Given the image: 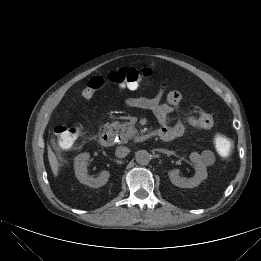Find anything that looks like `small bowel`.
Returning <instances> with one entry per match:
<instances>
[{
	"mask_svg": "<svg viewBox=\"0 0 261 261\" xmlns=\"http://www.w3.org/2000/svg\"><path fill=\"white\" fill-rule=\"evenodd\" d=\"M123 89L135 90L138 85H122ZM166 89V82L162 83L156 95L152 97L128 98L124 104L127 107L139 108L152 111L157 117L161 127L156 131L157 136L164 141H172L181 137L188 128L204 132L212 129L214 125L213 117L204 111L194 109L188 117L187 123L170 124L168 117L184 101L183 95L178 91H171L163 99Z\"/></svg>",
	"mask_w": 261,
	"mask_h": 261,
	"instance_id": "obj_1",
	"label": "small bowel"
}]
</instances>
